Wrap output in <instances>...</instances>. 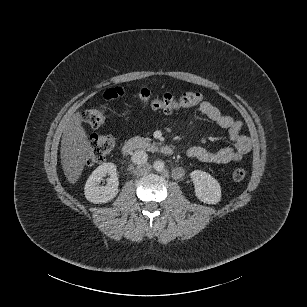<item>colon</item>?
Wrapping results in <instances>:
<instances>
[{
    "instance_id": "1",
    "label": "colon",
    "mask_w": 307,
    "mask_h": 307,
    "mask_svg": "<svg viewBox=\"0 0 307 307\" xmlns=\"http://www.w3.org/2000/svg\"><path fill=\"white\" fill-rule=\"evenodd\" d=\"M125 93L126 90L122 87L110 88L104 93V99L112 101L122 97ZM137 99L142 107L163 113H171L204 102L203 95L195 91H186L179 97L165 94L162 97L153 98L151 91L147 88H143L137 93ZM106 116L107 106L102 105L99 108L86 111L83 115V122L91 128H98L104 123ZM116 143L117 140L113 135H96L93 137L90 142L88 164L96 165L103 162L113 151ZM232 175L236 181L243 180L246 176V170L242 166H237L234 168Z\"/></svg>"
}]
</instances>
